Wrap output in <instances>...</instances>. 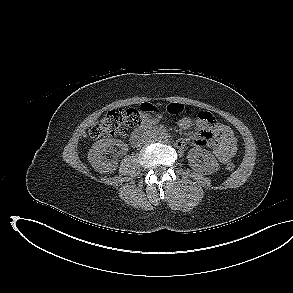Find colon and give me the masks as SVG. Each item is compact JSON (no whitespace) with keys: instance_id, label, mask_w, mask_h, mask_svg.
Listing matches in <instances>:
<instances>
[{"instance_id":"obj_1","label":"colon","mask_w":293,"mask_h":293,"mask_svg":"<svg viewBox=\"0 0 293 293\" xmlns=\"http://www.w3.org/2000/svg\"><path fill=\"white\" fill-rule=\"evenodd\" d=\"M167 111L172 115H179L185 111V107L179 103H171L167 107ZM199 115L207 121L216 120L213 115L207 112H200ZM141 112L134 108L114 109L104 114L89 129L91 138L99 139L111 136L124 137L128 135L131 129L137 127L141 123ZM227 171H233L235 165L228 163L225 166Z\"/></svg>"}]
</instances>
